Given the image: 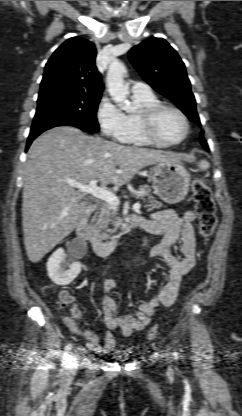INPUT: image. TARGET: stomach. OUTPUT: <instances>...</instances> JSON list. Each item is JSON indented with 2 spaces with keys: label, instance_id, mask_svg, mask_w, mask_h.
<instances>
[{
  "label": "stomach",
  "instance_id": "obj_1",
  "mask_svg": "<svg viewBox=\"0 0 242 416\" xmlns=\"http://www.w3.org/2000/svg\"><path fill=\"white\" fill-rule=\"evenodd\" d=\"M154 193L169 204L182 201L188 194L190 174L186 168L176 161L156 163L153 168Z\"/></svg>",
  "mask_w": 242,
  "mask_h": 416
}]
</instances>
